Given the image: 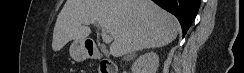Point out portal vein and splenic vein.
<instances>
[{"mask_svg":"<svg viewBox=\"0 0 244 73\" xmlns=\"http://www.w3.org/2000/svg\"><path fill=\"white\" fill-rule=\"evenodd\" d=\"M92 21H89V20H85L84 21V24L86 25H89L91 24ZM102 39H103V42L106 43V44H109L111 43V41L113 40L112 36L108 34V32L102 28Z\"/></svg>","mask_w":244,"mask_h":73,"instance_id":"obj_1","label":"portal vein and splenic vein"}]
</instances>
